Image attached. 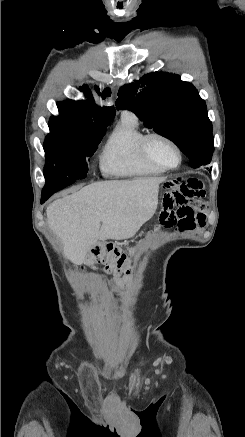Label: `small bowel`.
Here are the masks:
<instances>
[{"instance_id": "obj_1", "label": "small bowel", "mask_w": 245, "mask_h": 437, "mask_svg": "<svg viewBox=\"0 0 245 437\" xmlns=\"http://www.w3.org/2000/svg\"><path fill=\"white\" fill-rule=\"evenodd\" d=\"M176 189L177 192L163 200L164 208L159 209L158 224H163L165 229L178 228L182 232L201 229L206 221V206L199 199L204 193L202 181L192 177L184 183H177ZM127 280L128 277H124L121 282Z\"/></svg>"}]
</instances>
